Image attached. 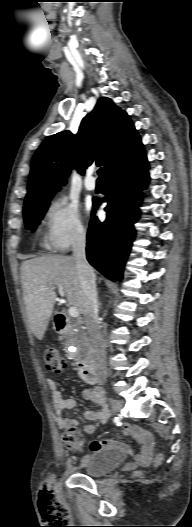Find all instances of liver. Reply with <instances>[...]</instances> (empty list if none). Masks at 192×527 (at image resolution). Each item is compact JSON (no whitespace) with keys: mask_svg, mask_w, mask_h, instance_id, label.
Instances as JSON below:
<instances>
[{"mask_svg":"<svg viewBox=\"0 0 192 527\" xmlns=\"http://www.w3.org/2000/svg\"><path fill=\"white\" fill-rule=\"evenodd\" d=\"M21 284L30 328L42 340L56 302L55 287L61 285L70 306L83 314V296L76 261L71 256L44 255L21 265Z\"/></svg>","mask_w":192,"mask_h":527,"instance_id":"6515ba94","label":"liver"}]
</instances>
